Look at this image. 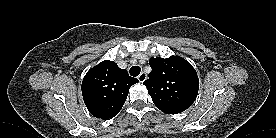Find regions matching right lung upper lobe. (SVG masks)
<instances>
[{"mask_svg": "<svg viewBox=\"0 0 276 138\" xmlns=\"http://www.w3.org/2000/svg\"><path fill=\"white\" fill-rule=\"evenodd\" d=\"M138 80L120 69L113 61L105 60L90 69L82 81V95L89 112L108 120L123 107L129 88Z\"/></svg>", "mask_w": 276, "mask_h": 138, "instance_id": "cb5924a9", "label": "right lung upper lobe"}]
</instances>
